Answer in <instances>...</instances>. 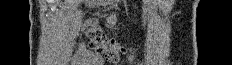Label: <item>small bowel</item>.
I'll return each mask as SVG.
<instances>
[{
  "label": "small bowel",
  "mask_w": 232,
  "mask_h": 65,
  "mask_svg": "<svg viewBox=\"0 0 232 65\" xmlns=\"http://www.w3.org/2000/svg\"><path fill=\"white\" fill-rule=\"evenodd\" d=\"M108 15L111 17L113 14L110 12Z\"/></svg>",
  "instance_id": "1"
}]
</instances>
